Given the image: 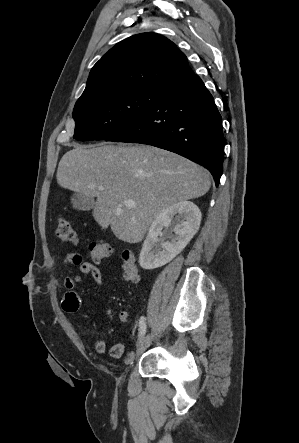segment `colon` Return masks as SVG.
<instances>
[{
	"instance_id": "colon-1",
	"label": "colon",
	"mask_w": 299,
	"mask_h": 443,
	"mask_svg": "<svg viewBox=\"0 0 299 443\" xmlns=\"http://www.w3.org/2000/svg\"><path fill=\"white\" fill-rule=\"evenodd\" d=\"M56 235L64 242L77 245L78 236L72 225L65 218H59L56 226ZM114 253L111 244L105 241H96L89 246V255L94 263H100ZM122 275L124 279L135 281L138 278V267L133 253L124 249L121 252Z\"/></svg>"
}]
</instances>
